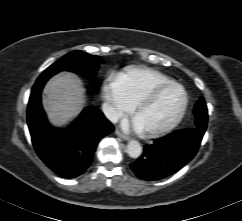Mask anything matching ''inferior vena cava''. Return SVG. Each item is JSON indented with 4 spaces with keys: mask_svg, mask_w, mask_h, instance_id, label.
<instances>
[{
    "mask_svg": "<svg viewBox=\"0 0 242 221\" xmlns=\"http://www.w3.org/2000/svg\"><path fill=\"white\" fill-rule=\"evenodd\" d=\"M102 111L104 115L113 123H116L120 117L119 112L108 102L103 103Z\"/></svg>",
    "mask_w": 242,
    "mask_h": 221,
    "instance_id": "inferior-vena-cava-1",
    "label": "inferior vena cava"
}]
</instances>
